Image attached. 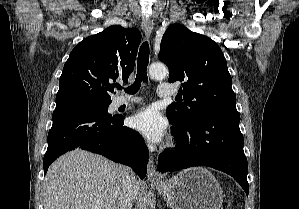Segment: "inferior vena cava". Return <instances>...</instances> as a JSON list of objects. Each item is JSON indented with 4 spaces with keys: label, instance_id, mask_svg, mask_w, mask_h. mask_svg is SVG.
I'll list each match as a JSON object with an SVG mask.
<instances>
[{
    "label": "inferior vena cava",
    "instance_id": "602c4592",
    "mask_svg": "<svg viewBox=\"0 0 299 209\" xmlns=\"http://www.w3.org/2000/svg\"><path fill=\"white\" fill-rule=\"evenodd\" d=\"M123 193L119 199L117 209H131L133 203L132 187L135 180L133 170L127 166H122Z\"/></svg>",
    "mask_w": 299,
    "mask_h": 209
}]
</instances>
